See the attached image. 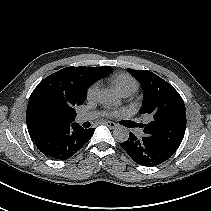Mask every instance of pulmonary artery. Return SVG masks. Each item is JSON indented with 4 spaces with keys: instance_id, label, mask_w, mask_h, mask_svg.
<instances>
[{
    "instance_id": "1",
    "label": "pulmonary artery",
    "mask_w": 211,
    "mask_h": 211,
    "mask_svg": "<svg viewBox=\"0 0 211 211\" xmlns=\"http://www.w3.org/2000/svg\"><path fill=\"white\" fill-rule=\"evenodd\" d=\"M121 95L123 97H128L129 95H131V93L130 92H124V93H121ZM97 115H98V113H95V112L82 113V114H79L76 117V121L78 123H82V122H85V121H88V120L95 118Z\"/></svg>"
}]
</instances>
